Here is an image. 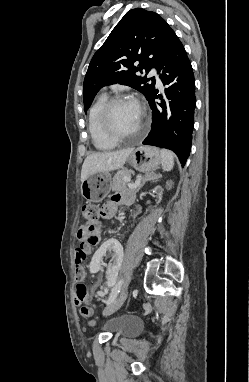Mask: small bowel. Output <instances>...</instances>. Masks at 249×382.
<instances>
[{
  "instance_id": "obj_1",
  "label": "small bowel",
  "mask_w": 249,
  "mask_h": 382,
  "mask_svg": "<svg viewBox=\"0 0 249 382\" xmlns=\"http://www.w3.org/2000/svg\"><path fill=\"white\" fill-rule=\"evenodd\" d=\"M131 202H132V196L129 193L118 192V193L114 194L110 198V200L101 208L100 213L104 217L110 218L115 214L118 205L130 204ZM99 233H100V227L97 223L85 224V225L80 226V228L78 229L77 234H76L77 240L79 241L78 247L79 248H86V247L89 248L90 245L99 246L100 245V240L98 239ZM90 268H91V266H90ZM115 269H116V267L114 268V270ZM90 271H91V269H90ZM86 300H87V298H85V299L76 298L75 304L77 306L83 305L84 301H86ZM87 309H88V312L85 315L90 316L92 314V309H90V308H87Z\"/></svg>"
}]
</instances>
